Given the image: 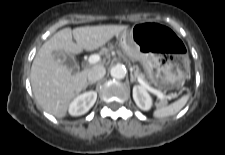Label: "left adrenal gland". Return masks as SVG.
<instances>
[{
	"mask_svg": "<svg viewBox=\"0 0 225 155\" xmlns=\"http://www.w3.org/2000/svg\"><path fill=\"white\" fill-rule=\"evenodd\" d=\"M130 76H131V82L133 83V82H137V80H136V78H135V76L133 75V73L131 72L130 73Z\"/></svg>",
	"mask_w": 225,
	"mask_h": 155,
	"instance_id": "left-adrenal-gland-1",
	"label": "left adrenal gland"
}]
</instances>
